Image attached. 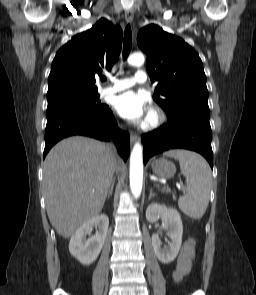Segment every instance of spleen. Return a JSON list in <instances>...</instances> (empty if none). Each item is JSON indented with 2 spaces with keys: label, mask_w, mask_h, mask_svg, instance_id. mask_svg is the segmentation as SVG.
<instances>
[{
  "label": "spleen",
  "mask_w": 256,
  "mask_h": 295,
  "mask_svg": "<svg viewBox=\"0 0 256 295\" xmlns=\"http://www.w3.org/2000/svg\"><path fill=\"white\" fill-rule=\"evenodd\" d=\"M164 156L176 158L186 178L187 192L179 199V208L189 217L200 219L209 204L212 182L207 161L199 154L187 150H171L164 153Z\"/></svg>",
  "instance_id": "3e777b00"
}]
</instances>
